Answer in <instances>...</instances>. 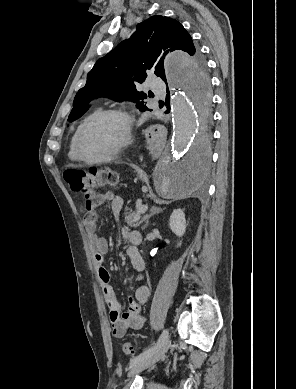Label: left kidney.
I'll return each instance as SVG.
<instances>
[{
    "label": "left kidney",
    "instance_id": "1",
    "mask_svg": "<svg viewBox=\"0 0 296 389\" xmlns=\"http://www.w3.org/2000/svg\"><path fill=\"white\" fill-rule=\"evenodd\" d=\"M169 226L172 232L179 238L185 234L186 231V219L183 210L176 209L172 212L169 220ZM181 242L177 246H180Z\"/></svg>",
    "mask_w": 296,
    "mask_h": 389
}]
</instances>
